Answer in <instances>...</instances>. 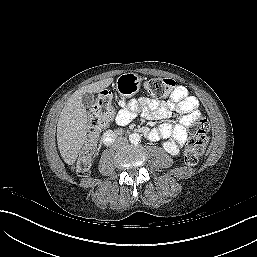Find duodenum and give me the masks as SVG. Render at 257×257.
<instances>
[{
    "label": "duodenum",
    "mask_w": 257,
    "mask_h": 257,
    "mask_svg": "<svg viewBox=\"0 0 257 257\" xmlns=\"http://www.w3.org/2000/svg\"><path fill=\"white\" fill-rule=\"evenodd\" d=\"M137 132L145 136H148L150 134V131L147 127H140L139 129H137ZM121 133L122 129L119 128L105 132L102 137L103 144L106 146L111 145Z\"/></svg>",
    "instance_id": "duodenum-1"
}]
</instances>
